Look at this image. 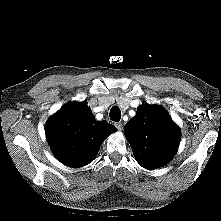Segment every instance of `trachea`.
Segmentation results:
<instances>
[{
  "label": "trachea",
  "mask_w": 221,
  "mask_h": 221,
  "mask_svg": "<svg viewBox=\"0 0 221 221\" xmlns=\"http://www.w3.org/2000/svg\"><path fill=\"white\" fill-rule=\"evenodd\" d=\"M110 119L112 121L118 122L121 119V111L117 106H113L110 109Z\"/></svg>",
  "instance_id": "trachea-1"
}]
</instances>
